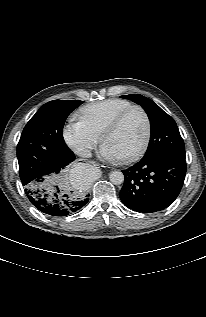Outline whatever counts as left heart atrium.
Returning a JSON list of instances; mask_svg holds the SVG:
<instances>
[{"mask_svg":"<svg viewBox=\"0 0 206 317\" xmlns=\"http://www.w3.org/2000/svg\"><path fill=\"white\" fill-rule=\"evenodd\" d=\"M99 154L102 158L109 160V161H114L118 160L121 157L108 145L103 144L100 148Z\"/></svg>","mask_w":206,"mask_h":317,"instance_id":"39dd6f15","label":"left heart atrium"}]
</instances>
